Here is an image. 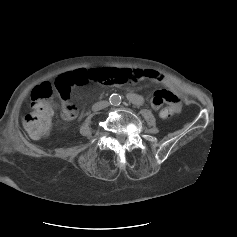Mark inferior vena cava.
I'll return each instance as SVG.
<instances>
[{"label": "inferior vena cava", "instance_id": "obj_1", "mask_svg": "<svg viewBox=\"0 0 237 237\" xmlns=\"http://www.w3.org/2000/svg\"><path fill=\"white\" fill-rule=\"evenodd\" d=\"M109 106L108 101H99L92 106L93 111H99Z\"/></svg>", "mask_w": 237, "mask_h": 237}]
</instances>
